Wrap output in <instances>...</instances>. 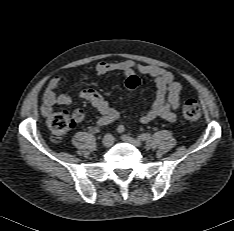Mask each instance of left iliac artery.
Wrapping results in <instances>:
<instances>
[{"instance_id":"left-iliac-artery-1","label":"left iliac artery","mask_w":234,"mask_h":231,"mask_svg":"<svg viewBox=\"0 0 234 231\" xmlns=\"http://www.w3.org/2000/svg\"><path fill=\"white\" fill-rule=\"evenodd\" d=\"M117 130L119 133H122L125 131V127L123 125H119ZM137 138L139 140H142V141H149L151 138V134L150 133H143V134H140L139 136H137Z\"/></svg>"}]
</instances>
